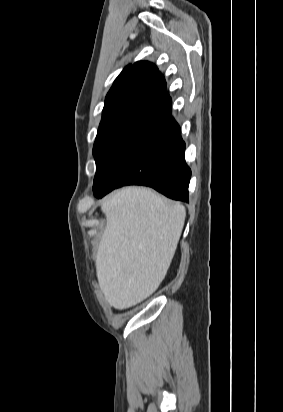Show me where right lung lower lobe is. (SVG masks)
I'll use <instances>...</instances> for the list:
<instances>
[{
    "label": "right lung lower lobe",
    "instance_id": "98d812e1",
    "mask_svg": "<svg viewBox=\"0 0 283 412\" xmlns=\"http://www.w3.org/2000/svg\"><path fill=\"white\" fill-rule=\"evenodd\" d=\"M184 151L180 127L169 111L94 183V195L101 198L121 186L145 185L171 199L188 202L191 170Z\"/></svg>",
    "mask_w": 283,
    "mask_h": 412
}]
</instances>
